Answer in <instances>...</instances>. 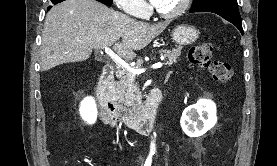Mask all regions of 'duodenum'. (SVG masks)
<instances>
[{
	"label": "duodenum",
	"instance_id": "obj_1",
	"mask_svg": "<svg viewBox=\"0 0 277 166\" xmlns=\"http://www.w3.org/2000/svg\"><path fill=\"white\" fill-rule=\"evenodd\" d=\"M114 67L106 64L97 81L96 96L100 116L113 127H126L139 133L147 134L151 131L156 119L160 96L152 92L140 113L130 115L121 111L110 90Z\"/></svg>",
	"mask_w": 277,
	"mask_h": 166
}]
</instances>
